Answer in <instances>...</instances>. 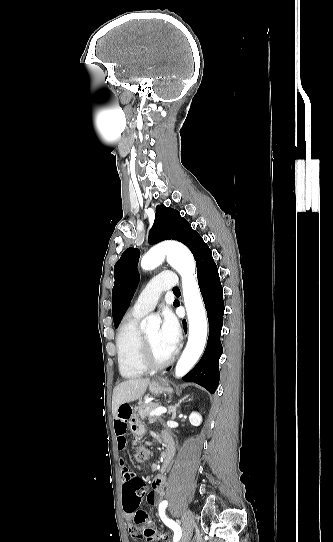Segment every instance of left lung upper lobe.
Masks as SVG:
<instances>
[{
    "label": "left lung upper lobe",
    "instance_id": "obj_1",
    "mask_svg": "<svg viewBox=\"0 0 333 542\" xmlns=\"http://www.w3.org/2000/svg\"><path fill=\"white\" fill-rule=\"evenodd\" d=\"M167 239L184 243L191 250L195 259L200 247L205 243L177 210L158 205L154 224L149 233V243L156 244ZM139 257L140 251L138 249L128 248L114 266L115 284L112 290V314L115 328L120 323L138 285Z\"/></svg>",
    "mask_w": 333,
    "mask_h": 542
}]
</instances>
